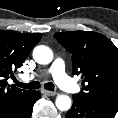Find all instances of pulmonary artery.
I'll use <instances>...</instances> for the list:
<instances>
[{"mask_svg":"<svg viewBox=\"0 0 118 118\" xmlns=\"http://www.w3.org/2000/svg\"><path fill=\"white\" fill-rule=\"evenodd\" d=\"M49 72L51 73L54 81L65 91L73 92L77 90V85L65 72V63L62 59H56L51 65ZM36 77L35 73L23 76L24 80H31Z\"/></svg>","mask_w":118,"mask_h":118,"instance_id":"pulmonary-artery-1","label":"pulmonary artery"}]
</instances>
